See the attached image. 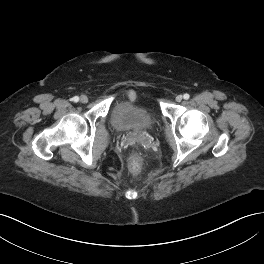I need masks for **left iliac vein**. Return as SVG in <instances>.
Masks as SVG:
<instances>
[{"label":"left iliac vein","instance_id":"left-iliac-vein-1","mask_svg":"<svg viewBox=\"0 0 264 264\" xmlns=\"http://www.w3.org/2000/svg\"><path fill=\"white\" fill-rule=\"evenodd\" d=\"M175 99H176L177 102H181L182 99H183V96L182 95H177Z\"/></svg>","mask_w":264,"mask_h":264}]
</instances>
